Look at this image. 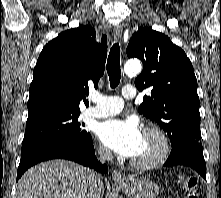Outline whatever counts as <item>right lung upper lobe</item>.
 Instances as JSON below:
<instances>
[{
	"instance_id": "1",
	"label": "right lung upper lobe",
	"mask_w": 221,
	"mask_h": 198,
	"mask_svg": "<svg viewBox=\"0 0 221 198\" xmlns=\"http://www.w3.org/2000/svg\"><path fill=\"white\" fill-rule=\"evenodd\" d=\"M91 26L60 33L43 48L33 72L27 122L41 117L80 112L79 103L98 87L107 57V37L95 40Z\"/></svg>"
}]
</instances>
